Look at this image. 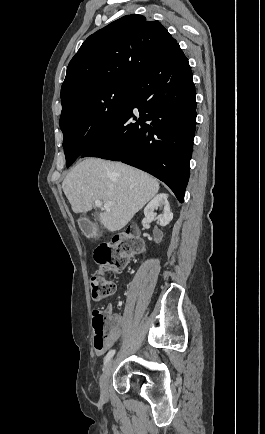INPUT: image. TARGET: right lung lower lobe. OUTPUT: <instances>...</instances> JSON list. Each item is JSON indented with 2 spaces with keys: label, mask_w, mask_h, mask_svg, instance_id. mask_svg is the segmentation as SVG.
<instances>
[{
  "label": "right lung lower lobe",
  "mask_w": 265,
  "mask_h": 434,
  "mask_svg": "<svg viewBox=\"0 0 265 434\" xmlns=\"http://www.w3.org/2000/svg\"><path fill=\"white\" fill-rule=\"evenodd\" d=\"M196 114L192 71L177 43L133 80L120 118L80 157L142 169L168 185L182 203Z\"/></svg>",
  "instance_id": "1"
}]
</instances>
